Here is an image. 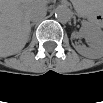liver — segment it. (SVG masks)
I'll list each match as a JSON object with an SVG mask.
<instances>
[{
    "instance_id": "liver-1",
    "label": "liver",
    "mask_w": 103,
    "mask_h": 103,
    "mask_svg": "<svg viewBox=\"0 0 103 103\" xmlns=\"http://www.w3.org/2000/svg\"><path fill=\"white\" fill-rule=\"evenodd\" d=\"M43 1L6 0L1 2V56L20 52L29 40V13L45 8Z\"/></svg>"
}]
</instances>
